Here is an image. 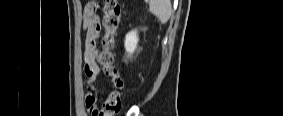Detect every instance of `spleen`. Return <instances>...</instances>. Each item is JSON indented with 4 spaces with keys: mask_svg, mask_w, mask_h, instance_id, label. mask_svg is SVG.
<instances>
[{
    "mask_svg": "<svg viewBox=\"0 0 283 116\" xmlns=\"http://www.w3.org/2000/svg\"><path fill=\"white\" fill-rule=\"evenodd\" d=\"M149 11L158 18L161 24L167 23L172 14L170 0H151Z\"/></svg>",
    "mask_w": 283,
    "mask_h": 116,
    "instance_id": "1",
    "label": "spleen"
}]
</instances>
